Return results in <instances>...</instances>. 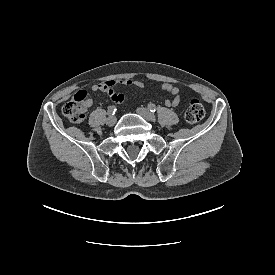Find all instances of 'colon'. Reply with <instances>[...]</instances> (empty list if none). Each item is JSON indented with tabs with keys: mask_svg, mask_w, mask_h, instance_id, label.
<instances>
[{
	"mask_svg": "<svg viewBox=\"0 0 275 275\" xmlns=\"http://www.w3.org/2000/svg\"><path fill=\"white\" fill-rule=\"evenodd\" d=\"M87 92L82 90L77 92L68 102L63 105V115L73 123H80L84 120L88 108ZM189 104L185 112V120L188 124L199 122L205 109L201 101L193 95L188 96Z\"/></svg>",
	"mask_w": 275,
	"mask_h": 275,
	"instance_id": "1",
	"label": "colon"
}]
</instances>
